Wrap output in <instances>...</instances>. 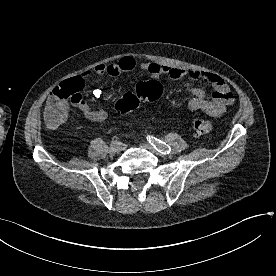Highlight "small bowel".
Wrapping results in <instances>:
<instances>
[{
	"instance_id": "small-bowel-1",
	"label": "small bowel",
	"mask_w": 276,
	"mask_h": 276,
	"mask_svg": "<svg viewBox=\"0 0 276 276\" xmlns=\"http://www.w3.org/2000/svg\"><path fill=\"white\" fill-rule=\"evenodd\" d=\"M139 67L142 71L148 73L152 78H160L162 76L168 77L173 80H178L184 77H189L192 80H200L208 85L213 94L210 99L207 98L206 93L201 88H192L190 90L192 98L188 102L187 110L190 113L197 111H204L210 116H220L223 114L227 107L234 102V95L229 86L223 78L217 74L210 72H203L199 70H185L176 67L161 65L154 62H142L140 64L130 56L121 58L118 62L110 64H99L93 69L87 70L79 78L85 82H100L107 77H117L121 73H127ZM103 95L100 89H94L92 96L99 98ZM73 106L77 107L83 116L90 120L100 122L107 118L108 113L104 108H93L89 106L82 98L76 102H72ZM50 106V97L46 102V108Z\"/></svg>"
}]
</instances>
